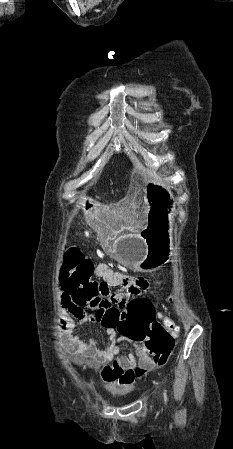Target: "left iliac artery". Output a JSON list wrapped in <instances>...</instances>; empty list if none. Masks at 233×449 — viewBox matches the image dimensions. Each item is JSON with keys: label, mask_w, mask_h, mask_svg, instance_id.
Segmentation results:
<instances>
[{"label": "left iliac artery", "mask_w": 233, "mask_h": 449, "mask_svg": "<svg viewBox=\"0 0 233 449\" xmlns=\"http://www.w3.org/2000/svg\"><path fill=\"white\" fill-rule=\"evenodd\" d=\"M164 399H165V402L167 401V395H166V392H164Z\"/></svg>", "instance_id": "left-iliac-artery-1"}]
</instances>
